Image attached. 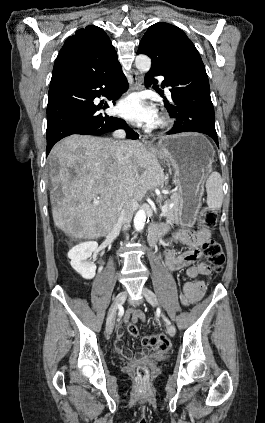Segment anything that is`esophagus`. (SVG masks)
<instances>
[{
    "label": "esophagus",
    "mask_w": 265,
    "mask_h": 423,
    "mask_svg": "<svg viewBox=\"0 0 265 423\" xmlns=\"http://www.w3.org/2000/svg\"><path fill=\"white\" fill-rule=\"evenodd\" d=\"M132 80H133V84H132V89H140L142 87V74L138 71H134L133 72V76H132ZM143 142L148 143L147 140L145 138H142Z\"/></svg>",
    "instance_id": "34e87169"
}]
</instances>
